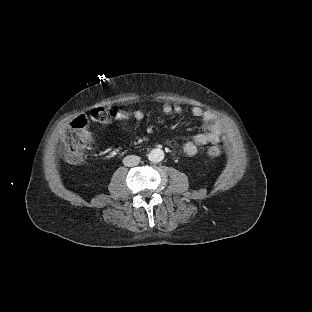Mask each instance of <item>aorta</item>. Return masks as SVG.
<instances>
[{"mask_svg":"<svg viewBox=\"0 0 312 312\" xmlns=\"http://www.w3.org/2000/svg\"><path fill=\"white\" fill-rule=\"evenodd\" d=\"M165 157L164 151L159 148L152 149L148 158L152 162H161Z\"/></svg>","mask_w":312,"mask_h":312,"instance_id":"obj_1","label":"aorta"}]
</instances>
